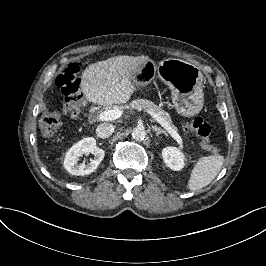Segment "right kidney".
I'll return each instance as SVG.
<instances>
[{"label":"right kidney","mask_w":266,"mask_h":266,"mask_svg":"<svg viewBox=\"0 0 266 266\" xmlns=\"http://www.w3.org/2000/svg\"><path fill=\"white\" fill-rule=\"evenodd\" d=\"M93 154L92 159L88 164H78V160L84 154ZM74 163V175H88L92 173L103 160L105 152L96 146V140L93 137L84 138L75 143L66 153Z\"/></svg>","instance_id":"ca27d5eb"}]
</instances>
